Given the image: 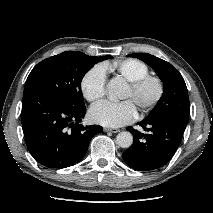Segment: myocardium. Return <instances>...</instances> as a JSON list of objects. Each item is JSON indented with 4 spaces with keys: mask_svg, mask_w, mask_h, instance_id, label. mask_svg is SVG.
<instances>
[{
    "mask_svg": "<svg viewBox=\"0 0 213 213\" xmlns=\"http://www.w3.org/2000/svg\"><path fill=\"white\" fill-rule=\"evenodd\" d=\"M153 86V95L145 102L139 105V110L141 113H146L153 109L162 99L164 94V84L162 80L157 76L146 75L137 80L130 82L129 88L134 94L140 93L145 87Z\"/></svg>",
    "mask_w": 213,
    "mask_h": 213,
    "instance_id": "f54148a6",
    "label": "myocardium"
}]
</instances>
